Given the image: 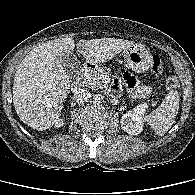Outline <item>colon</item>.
<instances>
[{
    "label": "colon",
    "mask_w": 195,
    "mask_h": 195,
    "mask_svg": "<svg viewBox=\"0 0 195 195\" xmlns=\"http://www.w3.org/2000/svg\"><path fill=\"white\" fill-rule=\"evenodd\" d=\"M164 70V62L158 55H154L152 58V71L155 74H160ZM166 86L169 90H177L179 88V82L176 77L170 76L166 79Z\"/></svg>",
    "instance_id": "obj_1"
}]
</instances>
